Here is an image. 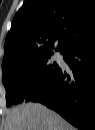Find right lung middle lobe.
I'll use <instances>...</instances> for the list:
<instances>
[{"label":"right lung middle lobe","instance_id":"obj_1","mask_svg":"<svg viewBox=\"0 0 95 130\" xmlns=\"http://www.w3.org/2000/svg\"><path fill=\"white\" fill-rule=\"evenodd\" d=\"M47 56L26 65L3 71L7 106L31 100L52 79L59 69L49 64Z\"/></svg>","mask_w":95,"mask_h":130}]
</instances>
